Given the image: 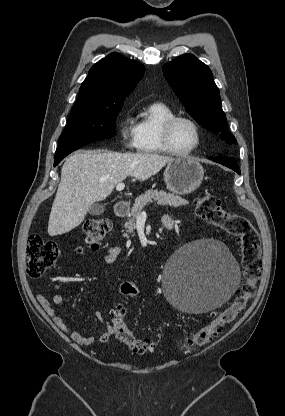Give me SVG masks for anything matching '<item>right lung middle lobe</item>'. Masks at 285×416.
I'll return each instance as SVG.
<instances>
[{"mask_svg":"<svg viewBox=\"0 0 285 416\" xmlns=\"http://www.w3.org/2000/svg\"><path fill=\"white\" fill-rule=\"evenodd\" d=\"M123 102L86 105L75 103L58 145L93 142L116 133V118Z\"/></svg>","mask_w":285,"mask_h":416,"instance_id":"right-lung-middle-lobe-1","label":"right lung middle lobe"}]
</instances>
